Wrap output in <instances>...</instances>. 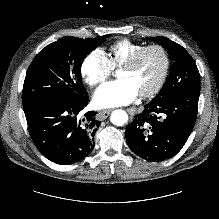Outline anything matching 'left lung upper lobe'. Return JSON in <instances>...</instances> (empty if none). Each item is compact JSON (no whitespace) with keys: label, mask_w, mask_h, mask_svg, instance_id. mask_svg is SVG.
Here are the masks:
<instances>
[{"label":"left lung upper lobe","mask_w":219,"mask_h":219,"mask_svg":"<svg viewBox=\"0 0 219 219\" xmlns=\"http://www.w3.org/2000/svg\"><path fill=\"white\" fill-rule=\"evenodd\" d=\"M169 53L174 64L169 76L154 101H162L185 90H200V74L195 61L179 44L165 37H151Z\"/></svg>","instance_id":"1"}]
</instances>
